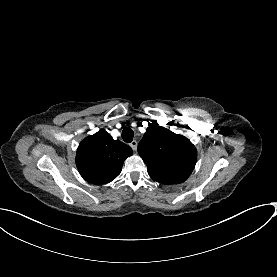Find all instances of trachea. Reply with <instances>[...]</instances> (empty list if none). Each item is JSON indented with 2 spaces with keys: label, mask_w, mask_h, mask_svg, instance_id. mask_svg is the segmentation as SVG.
Listing matches in <instances>:
<instances>
[{
  "label": "trachea",
  "mask_w": 277,
  "mask_h": 277,
  "mask_svg": "<svg viewBox=\"0 0 277 277\" xmlns=\"http://www.w3.org/2000/svg\"><path fill=\"white\" fill-rule=\"evenodd\" d=\"M121 137L126 143H130L134 138V131L130 127H126L123 129Z\"/></svg>",
  "instance_id": "3493384b"
}]
</instances>
